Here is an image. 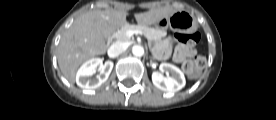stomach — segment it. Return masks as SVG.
Instances as JSON below:
<instances>
[{
	"mask_svg": "<svg viewBox=\"0 0 276 120\" xmlns=\"http://www.w3.org/2000/svg\"><path fill=\"white\" fill-rule=\"evenodd\" d=\"M153 25L163 32L169 27L174 32L180 33L192 32L198 26L195 16L185 10H175L170 16L160 19Z\"/></svg>",
	"mask_w": 276,
	"mask_h": 120,
	"instance_id": "1",
	"label": "stomach"
}]
</instances>
